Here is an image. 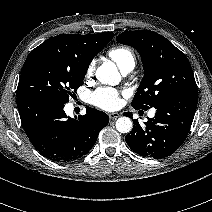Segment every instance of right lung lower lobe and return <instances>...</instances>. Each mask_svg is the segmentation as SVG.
<instances>
[{
	"label": "right lung lower lobe",
	"mask_w": 212,
	"mask_h": 212,
	"mask_svg": "<svg viewBox=\"0 0 212 212\" xmlns=\"http://www.w3.org/2000/svg\"><path fill=\"white\" fill-rule=\"evenodd\" d=\"M17 107L35 149L55 162H70L86 155L109 122L106 113L90 107L83 116L68 117L63 103L43 97L17 98Z\"/></svg>",
	"instance_id": "right-lung-lower-lobe-1"
}]
</instances>
